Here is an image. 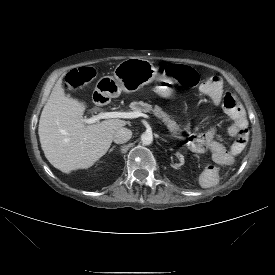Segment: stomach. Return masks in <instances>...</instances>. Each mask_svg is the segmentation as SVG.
I'll list each match as a JSON object with an SVG mask.
<instances>
[{"mask_svg": "<svg viewBox=\"0 0 275 275\" xmlns=\"http://www.w3.org/2000/svg\"><path fill=\"white\" fill-rule=\"evenodd\" d=\"M156 77V69L148 60L129 58L119 63L114 69L113 76H104L99 79L95 90H101L109 98L117 97L121 91L134 92L146 84L151 83ZM160 86L154 92L165 99L173 97L171 87L174 82L170 77H161Z\"/></svg>", "mask_w": 275, "mask_h": 275, "instance_id": "stomach-1", "label": "stomach"}]
</instances>
